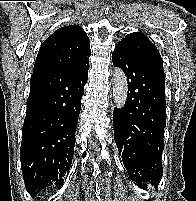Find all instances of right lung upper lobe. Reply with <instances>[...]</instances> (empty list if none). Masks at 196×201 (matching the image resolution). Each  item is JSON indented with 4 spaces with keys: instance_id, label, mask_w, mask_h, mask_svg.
<instances>
[{
    "instance_id": "right-lung-upper-lobe-1",
    "label": "right lung upper lobe",
    "mask_w": 196,
    "mask_h": 201,
    "mask_svg": "<svg viewBox=\"0 0 196 201\" xmlns=\"http://www.w3.org/2000/svg\"><path fill=\"white\" fill-rule=\"evenodd\" d=\"M91 54L90 40L78 25H68L56 30L41 45L33 74L88 64Z\"/></svg>"
}]
</instances>
